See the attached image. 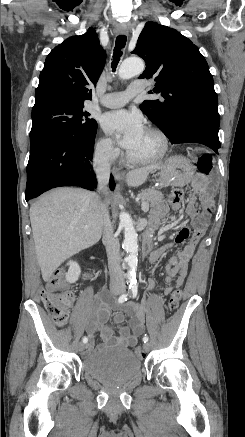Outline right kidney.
Wrapping results in <instances>:
<instances>
[{"label": "right kidney", "instance_id": "right-kidney-1", "mask_svg": "<svg viewBox=\"0 0 245 437\" xmlns=\"http://www.w3.org/2000/svg\"><path fill=\"white\" fill-rule=\"evenodd\" d=\"M67 265L69 266L68 272L65 274L66 280L69 283H75L78 278L79 275L81 273V269L80 266L78 265L77 262L70 260Z\"/></svg>", "mask_w": 245, "mask_h": 437}]
</instances>
